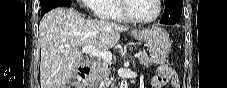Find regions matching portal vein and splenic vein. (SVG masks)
Instances as JSON below:
<instances>
[{"label": "portal vein and splenic vein", "instance_id": "18ae733b", "mask_svg": "<svg viewBox=\"0 0 227 88\" xmlns=\"http://www.w3.org/2000/svg\"><path fill=\"white\" fill-rule=\"evenodd\" d=\"M82 52L93 55L95 57L102 58L106 62H110L112 60V53L110 51L98 50L96 49V47L92 45L82 47ZM139 56H140V53H136L134 55L135 58H139Z\"/></svg>", "mask_w": 227, "mask_h": 88}]
</instances>
